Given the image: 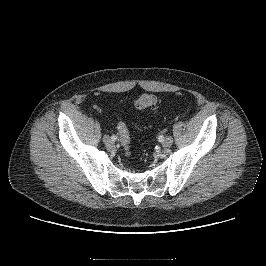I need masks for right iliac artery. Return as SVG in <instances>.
<instances>
[{"instance_id": "obj_1", "label": "right iliac artery", "mask_w": 266, "mask_h": 266, "mask_svg": "<svg viewBox=\"0 0 266 266\" xmlns=\"http://www.w3.org/2000/svg\"><path fill=\"white\" fill-rule=\"evenodd\" d=\"M111 139H112L113 141H115L117 138H116V136H112Z\"/></svg>"}]
</instances>
